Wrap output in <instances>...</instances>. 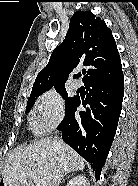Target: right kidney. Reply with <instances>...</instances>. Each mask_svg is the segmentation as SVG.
<instances>
[{
    "instance_id": "right-kidney-1",
    "label": "right kidney",
    "mask_w": 138,
    "mask_h": 186,
    "mask_svg": "<svg viewBox=\"0 0 138 186\" xmlns=\"http://www.w3.org/2000/svg\"><path fill=\"white\" fill-rule=\"evenodd\" d=\"M66 186H90V182L85 176L78 175L71 179Z\"/></svg>"
}]
</instances>
